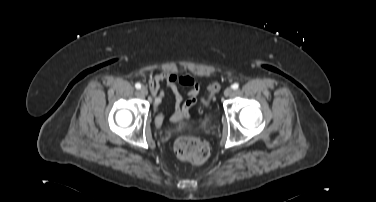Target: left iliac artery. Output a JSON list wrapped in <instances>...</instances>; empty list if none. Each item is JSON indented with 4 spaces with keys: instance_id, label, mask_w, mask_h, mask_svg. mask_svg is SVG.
I'll return each instance as SVG.
<instances>
[{
    "instance_id": "left-iliac-artery-1",
    "label": "left iliac artery",
    "mask_w": 376,
    "mask_h": 202,
    "mask_svg": "<svg viewBox=\"0 0 376 202\" xmlns=\"http://www.w3.org/2000/svg\"><path fill=\"white\" fill-rule=\"evenodd\" d=\"M232 88H233L234 90L238 89V88H239V84H238V83H234V84L232 85Z\"/></svg>"
}]
</instances>
